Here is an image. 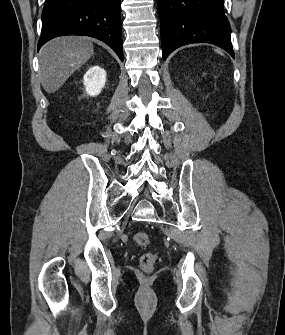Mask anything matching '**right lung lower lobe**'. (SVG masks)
<instances>
[{
    "mask_svg": "<svg viewBox=\"0 0 285 335\" xmlns=\"http://www.w3.org/2000/svg\"><path fill=\"white\" fill-rule=\"evenodd\" d=\"M120 8L121 0H45L38 50L59 36H90L110 46L123 61Z\"/></svg>",
    "mask_w": 285,
    "mask_h": 335,
    "instance_id": "right-lung-lower-lobe-1",
    "label": "right lung lower lobe"
}]
</instances>
